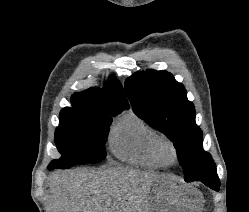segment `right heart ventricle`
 Instances as JSON below:
<instances>
[{
  "instance_id": "e07e8e85",
  "label": "right heart ventricle",
  "mask_w": 249,
  "mask_h": 212,
  "mask_svg": "<svg viewBox=\"0 0 249 212\" xmlns=\"http://www.w3.org/2000/svg\"><path fill=\"white\" fill-rule=\"evenodd\" d=\"M160 133L140 115L130 110L119 117L108 135V147L119 160L146 169H164L154 153Z\"/></svg>"
}]
</instances>
